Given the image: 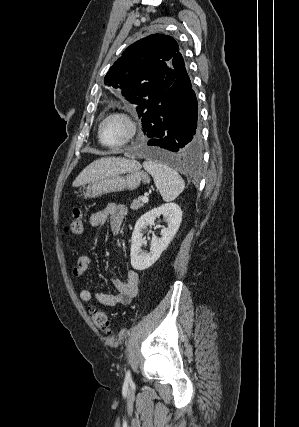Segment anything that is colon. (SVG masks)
<instances>
[{"mask_svg": "<svg viewBox=\"0 0 299 427\" xmlns=\"http://www.w3.org/2000/svg\"><path fill=\"white\" fill-rule=\"evenodd\" d=\"M84 215L80 208L75 207L72 211V218L69 224L65 227V231L70 234L78 235L83 230ZM91 317L96 327L102 332L109 334L111 331L110 320L108 316L101 310L92 309Z\"/></svg>", "mask_w": 299, "mask_h": 427, "instance_id": "5ec220e1", "label": "colon"}]
</instances>
